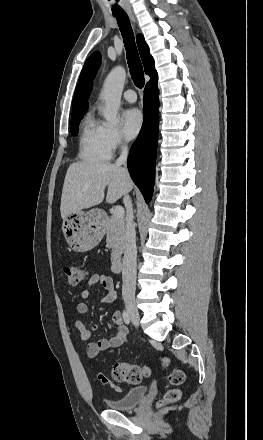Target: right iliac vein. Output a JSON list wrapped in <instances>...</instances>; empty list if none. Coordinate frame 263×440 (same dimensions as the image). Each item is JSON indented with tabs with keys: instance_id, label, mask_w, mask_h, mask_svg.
Wrapping results in <instances>:
<instances>
[{
	"instance_id": "63e3f726",
	"label": "right iliac vein",
	"mask_w": 263,
	"mask_h": 440,
	"mask_svg": "<svg viewBox=\"0 0 263 440\" xmlns=\"http://www.w3.org/2000/svg\"><path fill=\"white\" fill-rule=\"evenodd\" d=\"M125 306L133 324L137 327L140 321V315L133 299H126Z\"/></svg>"
}]
</instances>
